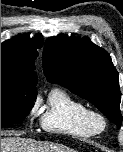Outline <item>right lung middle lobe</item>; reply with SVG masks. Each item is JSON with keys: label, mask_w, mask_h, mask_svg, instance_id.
<instances>
[{"label": "right lung middle lobe", "mask_w": 123, "mask_h": 152, "mask_svg": "<svg viewBox=\"0 0 123 152\" xmlns=\"http://www.w3.org/2000/svg\"><path fill=\"white\" fill-rule=\"evenodd\" d=\"M36 95L34 87L1 76V127L23 121L32 109Z\"/></svg>", "instance_id": "1"}]
</instances>
